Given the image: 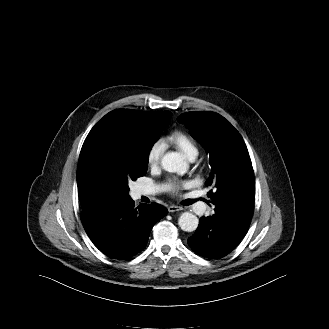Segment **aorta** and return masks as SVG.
<instances>
[{"label": "aorta", "instance_id": "762f6f07", "mask_svg": "<svg viewBox=\"0 0 329 329\" xmlns=\"http://www.w3.org/2000/svg\"><path fill=\"white\" fill-rule=\"evenodd\" d=\"M162 168L165 171L184 174L188 170V164L183 155L179 152H168L161 160ZM199 220L196 215L184 212L178 219L179 227L186 232H193L197 229Z\"/></svg>", "mask_w": 329, "mask_h": 329}]
</instances>
